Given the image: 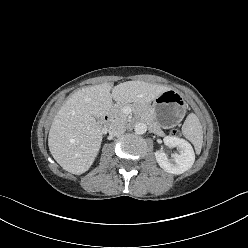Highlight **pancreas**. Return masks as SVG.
Segmentation results:
<instances>
[{
    "label": "pancreas",
    "instance_id": "cf45deb5",
    "mask_svg": "<svg viewBox=\"0 0 248 248\" xmlns=\"http://www.w3.org/2000/svg\"><path fill=\"white\" fill-rule=\"evenodd\" d=\"M124 107H131L133 111L138 114L143 120L151 123L153 125V132L156 134H160L161 130L160 127L153 122L152 115L150 113V107L149 106H141V107H135L132 104H118L114 107L112 111V117L115 119V121L121 122V123H127L128 117L124 114L123 109Z\"/></svg>",
    "mask_w": 248,
    "mask_h": 248
}]
</instances>
